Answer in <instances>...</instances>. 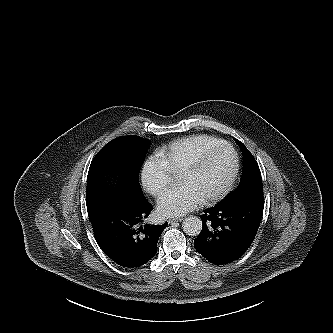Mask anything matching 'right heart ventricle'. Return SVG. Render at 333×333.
Returning a JSON list of instances; mask_svg holds the SVG:
<instances>
[{"label": "right heart ventricle", "instance_id": "obj_1", "mask_svg": "<svg viewBox=\"0 0 333 333\" xmlns=\"http://www.w3.org/2000/svg\"><path fill=\"white\" fill-rule=\"evenodd\" d=\"M223 140L206 134L192 135L175 140L159 150L170 171L180 173L201 152Z\"/></svg>", "mask_w": 333, "mask_h": 333}]
</instances>
